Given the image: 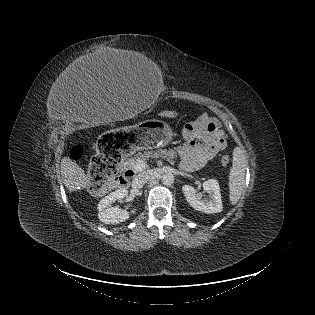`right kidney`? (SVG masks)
Instances as JSON below:
<instances>
[{"label":"right kidney","mask_w":315,"mask_h":315,"mask_svg":"<svg viewBox=\"0 0 315 315\" xmlns=\"http://www.w3.org/2000/svg\"><path fill=\"white\" fill-rule=\"evenodd\" d=\"M128 196V190L125 188L118 189L111 192L106 197H104L98 204V218L101 222L105 224H118L120 222L126 221L130 212L120 209L117 206H112V203L116 200H121ZM136 209H133L131 213H135Z\"/></svg>","instance_id":"right-kidney-1"}]
</instances>
